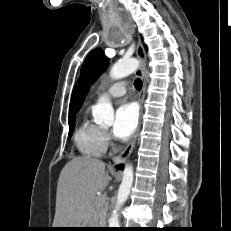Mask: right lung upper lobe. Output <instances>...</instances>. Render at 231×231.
<instances>
[{
  "label": "right lung upper lobe",
  "mask_w": 231,
  "mask_h": 231,
  "mask_svg": "<svg viewBox=\"0 0 231 231\" xmlns=\"http://www.w3.org/2000/svg\"><path fill=\"white\" fill-rule=\"evenodd\" d=\"M75 96V90L72 93V100L70 102V109H69V118L75 117V111H74V101L73 98Z\"/></svg>",
  "instance_id": "obj_1"
}]
</instances>
